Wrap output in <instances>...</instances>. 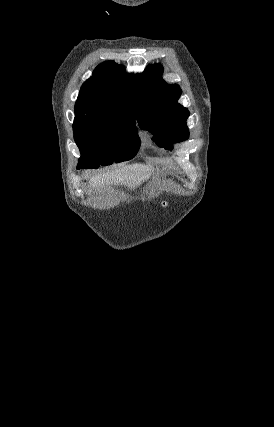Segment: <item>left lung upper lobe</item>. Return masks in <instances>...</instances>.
<instances>
[{
	"mask_svg": "<svg viewBox=\"0 0 274 427\" xmlns=\"http://www.w3.org/2000/svg\"><path fill=\"white\" fill-rule=\"evenodd\" d=\"M159 64L148 66L133 79V95L139 110V126L150 130L160 147L172 149L173 142L189 136L186 120L189 111L177 103L182 90L177 84L162 80Z\"/></svg>",
	"mask_w": 274,
	"mask_h": 427,
	"instance_id": "left-lung-upper-lobe-1",
	"label": "left lung upper lobe"
}]
</instances>
